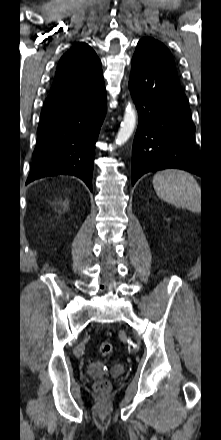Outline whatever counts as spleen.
I'll return each instance as SVG.
<instances>
[{"label":"spleen","instance_id":"spleen-1","mask_svg":"<svg viewBox=\"0 0 221 440\" xmlns=\"http://www.w3.org/2000/svg\"><path fill=\"white\" fill-rule=\"evenodd\" d=\"M157 195L164 201L193 212L201 209V188L194 177L182 170L167 169L153 177Z\"/></svg>","mask_w":221,"mask_h":440}]
</instances>
